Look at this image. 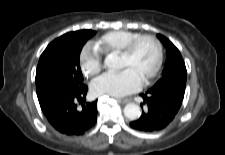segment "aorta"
Here are the masks:
<instances>
[{
    "label": "aorta",
    "instance_id": "1",
    "mask_svg": "<svg viewBox=\"0 0 225 155\" xmlns=\"http://www.w3.org/2000/svg\"><path fill=\"white\" fill-rule=\"evenodd\" d=\"M104 65L110 69L120 67V58L116 54H108L104 60ZM124 115L130 120H136L140 117V107L135 103H129L124 107Z\"/></svg>",
    "mask_w": 225,
    "mask_h": 155
}]
</instances>
